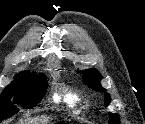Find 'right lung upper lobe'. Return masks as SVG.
I'll use <instances>...</instances> for the list:
<instances>
[{"mask_svg":"<svg viewBox=\"0 0 145 124\" xmlns=\"http://www.w3.org/2000/svg\"><path fill=\"white\" fill-rule=\"evenodd\" d=\"M28 74H30V73L21 72L20 74H18L17 76H15V78L21 77V76H24V75H28Z\"/></svg>","mask_w":145,"mask_h":124,"instance_id":"1","label":"right lung upper lobe"}]
</instances>
